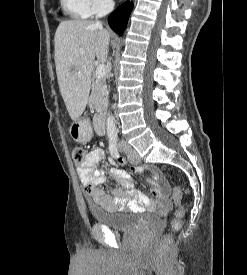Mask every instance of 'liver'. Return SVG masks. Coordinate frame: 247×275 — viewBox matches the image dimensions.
<instances>
[{"label": "liver", "instance_id": "6515ba94", "mask_svg": "<svg viewBox=\"0 0 247 275\" xmlns=\"http://www.w3.org/2000/svg\"><path fill=\"white\" fill-rule=\"evenodd\" d=\"M111 33L97 23L62 21L55 32V65L60 93L76 121L86 108L95 57L107 61Z\"/></svg>", "mask_w": 247, "mask_h": 275}]
</instances>
